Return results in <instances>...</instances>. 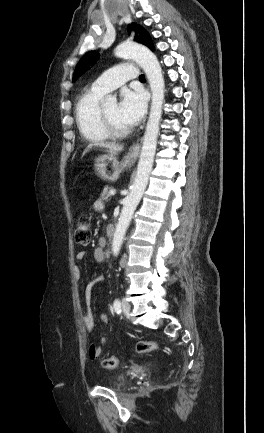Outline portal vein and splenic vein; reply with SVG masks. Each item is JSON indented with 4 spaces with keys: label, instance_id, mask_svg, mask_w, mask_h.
<instances>
[{
    "label": "portal vein and splenic vein",
    "instance_id": "portal-vein-and-splenic-vein-1",
    "mask_svg": "<svg viewBox=\"0 0 264 433\" xmlns=\"http://www.w3.org/2000/svg\"><path fill=\"white\" fill-rule=\"evenodd\" d=\"M109 194H110V195H115V194H116V191H115V190H111V191L109 192Z\"/></svg>",
    "mask_w": 264,
    "mask_h": 433
}]
</instances>
